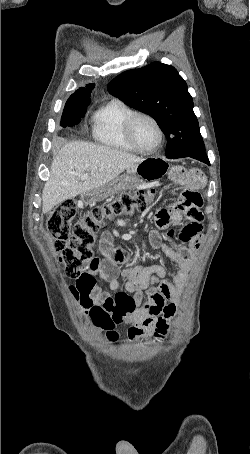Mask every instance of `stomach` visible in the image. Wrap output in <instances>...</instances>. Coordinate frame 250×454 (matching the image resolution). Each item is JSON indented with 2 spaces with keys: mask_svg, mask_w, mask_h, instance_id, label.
Listing matches in <instances>:
<instances>
[{
  "mask_svg": "<svg viewBox=\"0 0 250 454\" xmlns=\"http://www.w3.org/2000/svg\"><path fill=\"white\" fill-rule=\"evenodd\" d=\"M167 167L168 164L162 159H145L141 163L127 169V175L124 177V181L135 186L147 185L152 181L160 179ZM120 186L118 181L109 182L100 188L84 193L82 198L86 203L102 201L114 194Z\"/></svg>",
  "mask_w": 250,
  "mask_h": 454,
  "instance_id": "obj_1",
  "label": "stomach"
}]
</instances>
